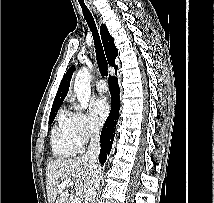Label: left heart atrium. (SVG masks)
<instances>
[{
    "instance_id": "1",
    "label": "left heart atrium",
    "mask_w": 214,
    "mask_h": 203,
    "mask_svg": "<svg viewBox=\"0 0 214 203\" xmlns=\"http://www.w3.org/2000/svg\"><path fill=\"white\" fill-rule=\"evenodd\" d=\"M90 114L97 125H101L105 121L109 114V105L105 97H99L91 104Z\"/></svg>"
}]
</instances>
